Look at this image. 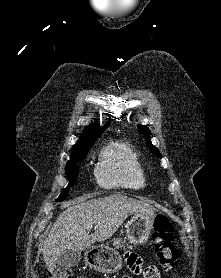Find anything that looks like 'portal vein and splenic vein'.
I'll use <instances>...</instances> for the list:
<instances>
[{"label": "portal vein and splenic vein", "mask_w": 221, "mask_h": 278, "mask_svg": "<svg viewBox=\"0 0 221 278\" xmlns=\"http://www.w3.org/2000/svg\"><path fill=\"white\" fill-rule=\"evenodd\" d=\"M92 228H93V225H92V224H90V225L87 226V229H88V230H91Z\"/></svg>", "instance_id": "obj_1"}]
</instances>
